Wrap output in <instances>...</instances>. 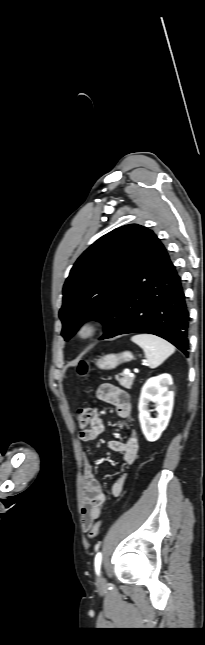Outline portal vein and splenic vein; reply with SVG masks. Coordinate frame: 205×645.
<instances>
[{
	"instance_id": "1",
	"label": "portal vein and splenic vein",
	"mask_w": 205,
	"mask_h": 645,
	"mask_svg": "<svg viewBox=\"0 0 205 645\" xmlns=\"http://www.w3.org/2000/svg\"><path fill=\"white\" fill-rule=\"evenodd\" d=\"M124 373H125V374H127V375H131L130 370H128V369H126V370L124 371Z\"/></svg>"
}]
</instances>
